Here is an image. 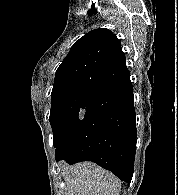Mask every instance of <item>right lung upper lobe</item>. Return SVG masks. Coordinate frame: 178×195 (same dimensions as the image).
<instances>
[{"label": "right lung upper lobe", "mask_w": 178, "mask_h": 195, "mask_svg": "<svg viewBox=\"0 0 178 195\" xmlns=\"http://www.w3.org/2000/svg\"><path fill=\"white\" fill-rule=\"evenodd\" d=\"M129 77L120 41L108 29H95L76 41L58 67L51 98L73 92L98 94Z\"/></svg>", "instance_id": "obj_1"}]
</instances>
